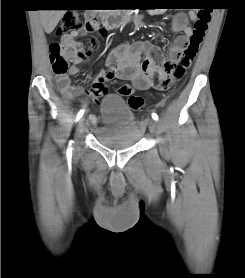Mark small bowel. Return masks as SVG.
<instances>
[{
  "label": "small bowel",
  "mask_w": 245,
  "mask_h": 278,
  "mask_svg": "<svg viewBox=\"0 0 245 278\" xmlns=\"http://www.w3.org/2000/svg\"><path fill=\"white\" fill-rule=\"evenodd\" d=\"M151 12L158 13L159 10L153 8ZM189 17L195 19L193 13H190ZM137 19H140V17ZM170 29L173 32H184L178 35L167 49L170 61L176 62L182 58L193 34V28L188 24L186 15L181 13L173 18ZM88 30V28H83L79 32L66 34L61 38L63 43L73 45L86 53L84 59L71 61V65L63 77H57L58 88L65 95H71L74 91L86 92L82 86L72 85L69 76L76 75L79 72L78 65L85 62L89 57L90 50L85 49L76 40L78 36L87 35ZM92 30L97 33L90 41L91 46H95L99 43L100 39L106 36L107 29L98 25ZM142 52H146L147 58L140 62ZM106 63L108 70H101L96 74L94 86L88 91L92 102H97L105 93V83L110 80H129L138 90H148L150 88L163 89L165 87L168 62L165 60L161 48L151 41L139 42L133 46H118L110 52Z\"/></svg>",
  "instance_id": "obj_1"
}]
</instances>
